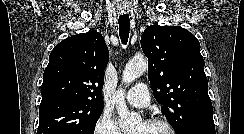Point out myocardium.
<instances>
[{"label": "myocardium", "mask_w": 244, "mask_h": 134, "mask_svg": "<svg viewBox=\"0 0 244 134\" xmlns=\"http://www.w3.org/2000/svg\"><path fill=\"white\" fill-rule=\"evenodd\" d=\"M146 123L151 125L163 126L168 130L170 134H178L175 128L173 127V125L167 120L155 118V119L148 120Z\"/></svg>", "instance_id": "myocardium-1"}]
</instances>
